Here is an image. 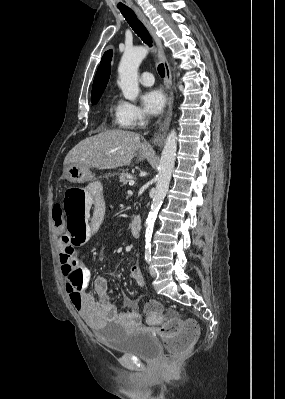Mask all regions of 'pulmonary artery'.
<instances>
[{
    "instance_id": "1",
    "label": "pulmonary artery",
    "mask_w": 285,
    "mask_h": 399,
    "mask_svg": "<svg viewBox=\"0 0 285 399\" xmlns=\"http://www.w3.org/2000/svg\"><path fill=\"white\" fill-rule=\"evenodd\" d=\"M139 81L144 86H151L154 83L153 75L150 72H143Z\"/></svg>"
}]
</instances>
